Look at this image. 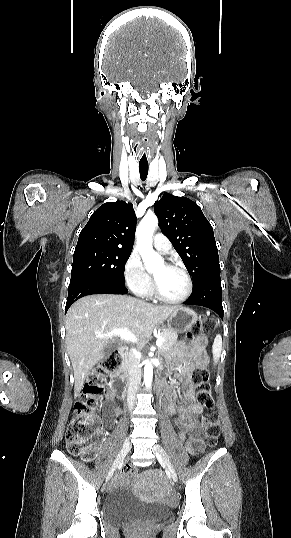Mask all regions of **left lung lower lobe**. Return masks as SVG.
Listing matches in <instances>:
<instances>
[{"instance_id":"left-lung-lower-lobe-1","label":"left lung lower lobe","mask_w":291,"mask_h":538,"mask_svg":"<svg viewBox=\"0 0 291 538\" xmlns=\"http://www.w3.org/2000/svg\"><path fill=\"white\" fill-rule=\"evenodd\" d=\"M220 276L209 279L196 289L183 304L199 305L212 309L223 319Z\"/></svg>"}]
</instances>
